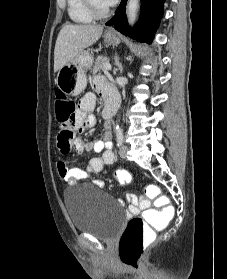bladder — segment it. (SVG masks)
<instances>
[{
	"label": "bladder",
	"mask_w": 227,
	"mask_h": 279,
	"mask_svg": "<svg viewBox=\"0 0 227 279\" xmlns=\"http://www.w3.org/2000/svg\"><path fill=\"white\" fill-rule=\"evenodd\" d=\"M64 203L76 231H85L100 240H113L121 232L124 214L121 204L94 185L67 188Z\"/></svg>",
	"instance_id": "obj_1"
}]
</instances>
